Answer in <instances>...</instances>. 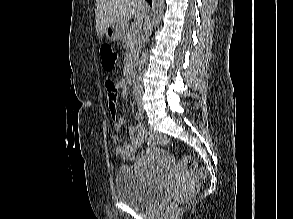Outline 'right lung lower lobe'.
Listing matches in <instances>:
<instances>
[{
  "label": "right lung lower lobe",
  "instance_id": "1",
  "mask_svg": "<svg viewBox=\"0 0 293 219\" xmlns=\"http://www.w3.org/2000/svg\"><path fill=\"white\" fill-rule=\"evenodd\" d=\"M151 4V0H147Z\"/></svg>",
  "mask_w": 293,
  "mask_h": 219
}]
</instances>
